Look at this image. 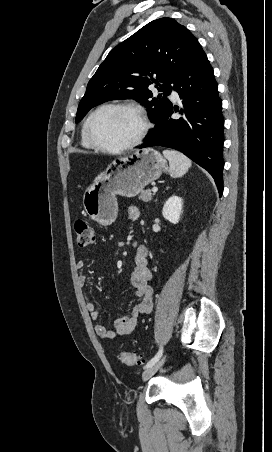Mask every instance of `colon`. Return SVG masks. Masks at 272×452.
Masks as SVG:
<instances>
[{"label": "colon", "instance_id": "obj_1", "mask_svg": "<svg viewBox=\"0 0 272 452\" xmlns=\"http://www.w3.org/2000/svg\"><path fill=\"white\" fill-rule=\"evenodd\" d=\"M76 241L79 247L85 248L95 242L96 234L93 227L85 220L79 219L74 224ZM120 360L125 365H139L142 363L141 357L131 352L122 353Z\"/></svg>", "mask_w": 272, "mask_h": 452}]
</instances>
